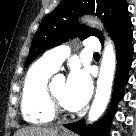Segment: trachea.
Instances as JSON below:
<instances>
[{
  "instance_id": "3493384b",
  "label": "trachea",
  "mask_w": 136,
  "mask_h": 136,
  "mask_svg": "<svg viewBox=\"0 0 136 136\" xmlns=\"http://www.w3.org/2000/svg\"><path fill=\"white\" fill-rule=\"evenodd\" d=\"M94 56H99V53H95Z\"/></svg>"
}]
</instances>
